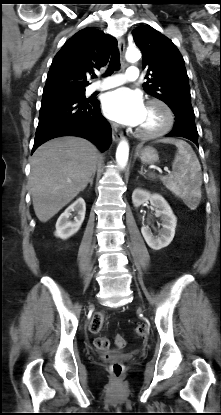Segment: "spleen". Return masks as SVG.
I'll list each match as a JSON object with an SVG mask.
<instances>
[{"label":"spleen","mask_w":221,"mask_h":415,"mask_svg":"<svg viewBox=\"0 0 221 415\" xmlns=\"http://www.w3.org/2000/svg\"><path fill=\"white\" fill-rule=\"evenodd\" d=\"M160 141L174 144L178 149L172 164L173 173L162 177L161 180L190 208H196L201 199L202 174L195 152L188 143L182 140L166 138ZM149 177L155 178V175L151 173Z\"/></svg>","instance_id":"1"}]
</instances>
